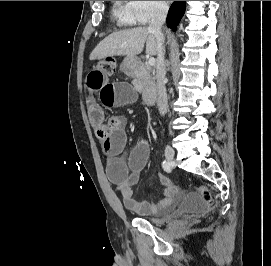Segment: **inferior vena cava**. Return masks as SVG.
<instances>
[{
	"mask_svg": "<svg viewBox=\"0 0 271 266\" xmlns=\"http://www.w3.org/2000/svg\"><path fill=\"white\" fill-rule=\"evenodd\" d=\"M168 5L162 2L157 3L154 6L151 22L148 27V30L152 32L157 38V68H156V77H157V106L161 115H165L167 112V93L165 88L166 83V68L164 61V47L163 43L165 41L164 34L162 33V26L165 23Z\"/></svg>",
	"mask_w": 271,
	"mask_h": 266,
	"instance_id": "inferior-vena-cava-1",
	"label": "inferior vena cava"
}]
</instances>
